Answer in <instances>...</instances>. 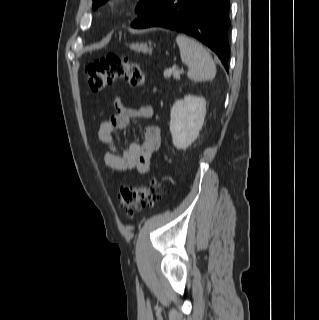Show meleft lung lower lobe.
<instances>
[{"instance_id":"obj_1","label":"left lung lower lobe","mask_w":319,"mask_h":320,"mask_svg":"<svg viewBox=\"0 0 319 320\" xmlns=\"http://www.w3.org/2000/svg\"><path fill=\"white\" fill-rule=\"evenodd\" d=\"M229 0H159L133 28L164 27L191 35L213 50L227 68Z\"/></svg>"}]
</instances>
